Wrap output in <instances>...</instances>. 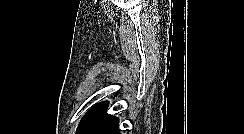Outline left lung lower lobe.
<instances>
[{
    "label": "left lung lower lobe",
    "mask_w": 244,
    "mask_h": 134,
    "mask_svg": "<svg viewBox=\"0 0 244 134\" xmlns=\"http://www.w3.org/2000/svg\"><path fill=\"white\" fill-rule=\"evenodd\" d=\"M119 120L116 117H111L103 123L94 134H120L119 133Z\"/></svg>",
    "instance_id": "0a47b994"
}]
</instances>
